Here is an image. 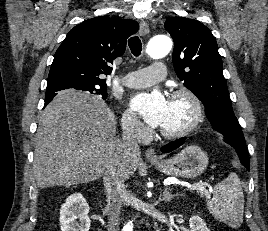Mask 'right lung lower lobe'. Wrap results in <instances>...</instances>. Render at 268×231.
Here are the masks:
<instances>
[{
    "instance_id": "obj_1",
    "label": "right lung lower lobe",
    "mask_w": 268,
    "mask_h": 231,
    "mask_svg": "<svg viewBox=\"0 0 268 231\" xmlns=\"http://www.w3.org/2000/svg\"><path fill=\"white\" fill-rule=\"evenodd\" d=\"M56 95V93H54V96ZM49 103V102H48ZM48 103H45V105L44 106H46Z\"/></svg>"
}]
</instances>
